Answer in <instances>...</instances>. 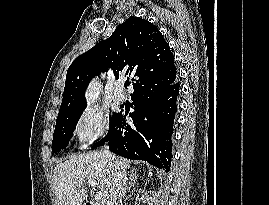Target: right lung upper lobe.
I'll use <instances>...</instances> for the list:
<instances>
[{"label": "right lung upper lobe", "mask_w": 269, "mask_h": 205, "mask_svg": "<svg viewBox=\"0 0 269 205\" xmlns=\"http://www.w3.org/2000/svg\"><path fill=\"white\" fill-rule=\"evenodd\" d=\"M110 67L116 79L119 75L135 77L133 94L177 79L174 56L161 32L147 20L129 17L108 39L72 62L57 119L85 109L90 80Z\"/></svg>", "instance_id": "1"}]
</instances>
